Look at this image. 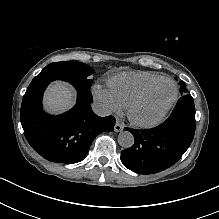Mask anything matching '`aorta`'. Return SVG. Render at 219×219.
Segmentation results:
<instances>
[{
	"label": "aorta",
	"mask_w": 219,
	"mask_h": 219,
	"mask_svg": "<svg viewBox=\"0 0 219 219\" xmlns=\"http://www.w3.org/2000/svg\"><path fill=\"white\" fill-rule=\"evenodd\" d=\"M134 136L129 131H122L118 135V143L123 148H130L134 144Z\"/></svg>",
	"instance_id": "1"
}]
</instances>
